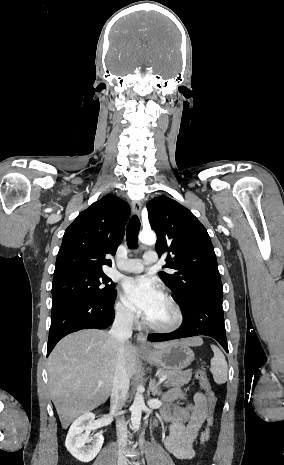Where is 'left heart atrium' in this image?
<instances>
[{
    "label": "left heart atrium",
    "instance_id": "1",
    "mask_svg": "<svg viewBox=\"0 0 284 465\" xmlns=\"http://www.w3.org/2000/svg\"><path fill=\"white\" fill-rule=\"evenodd\" d=\"M162 298V292L155 281L139 276L128 279L123 287V300L138 314L147 318Z\"/></svg>",
    "mask_w": 284,
    "mask_h": 465
}]
</instances>
